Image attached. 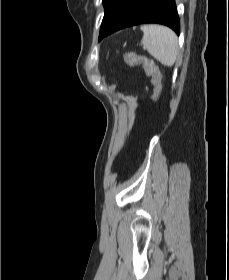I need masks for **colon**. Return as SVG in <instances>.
<instances>
[{
	"mask_svg": "<svg viewBox=\"0 0 229 280\" xmlns=\"http://www.w3.org/2000/svg\"><path fill=\"white\" fill-rule=\"evenodd\" d=\"M126 58V62L128 65L130 66H146L147 67V71L150 74V76L152 77L154 86H155V91H154V95L152 97V105H156L158 103L160 94H161V89H162V83H161V75L160 72L158 71V69L153 66L150 61L142 55H139L137 53L134 52H128L125 56Z\"/></svg>",
	"mask_w": 229,
	"mask_h": 280,
	"instance_id": "5ec220e1",
	"label": "colon"
}]
</instances>
